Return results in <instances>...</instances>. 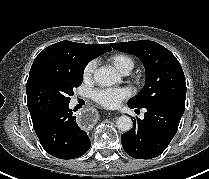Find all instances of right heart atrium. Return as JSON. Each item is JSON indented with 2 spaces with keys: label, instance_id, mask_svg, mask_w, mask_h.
I'll return each instance as SVG.
<instances>
[{
  "label": "right heart atrium",
  "instance_id": "1",
  "mask_svg": "<svg viewBox=\"0 0 209 179\" xmlns=\"http://www.w3.org/2000/svg\"><path fill=\"white\" fill-rule=\"evenodd\" d=\"M96 61L92 60V61H89L84 69H83V73H82V76H83V80L84 81H90L92 79V76H93V73L96 69Z\"/></svg>",
  "mask_w": 209,
  "mask_h": 179
}]
</instances>
